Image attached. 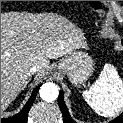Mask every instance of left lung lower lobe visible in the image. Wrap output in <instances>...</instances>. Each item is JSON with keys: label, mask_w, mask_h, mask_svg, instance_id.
I'll return each mask as SVG.
<instances>
[{"label": "left lung lower lobe", "mask_w": 123, "mask_h": 123, "mask_svg": "<svg viewBox=\"0 0 123 123\" xmlns=\"http://www.w3.org/2000/svg\"><path fill=\"white\" fill-rule=\"evenodd\" d=\"M122 44H123V41H122ZM59 106H60V109L63 114L64 123H76L69 115L68 109H67L64 99H63L62 92H60V94H59ZM110 123H123V113L119 117H117L116 119L111 121Z\"/></svg>", "instance_id": "left-lung-lower-lobe-1"}]
</instances>
